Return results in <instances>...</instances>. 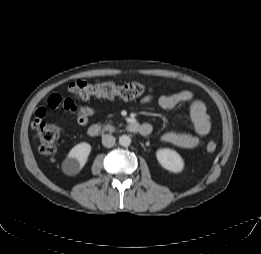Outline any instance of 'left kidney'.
<instances>
[{
	"label": "left kidney",
	"instance_id": "5707ae66",
	"mask_svg": "<svg viewBox=\"0 0 261 254\" xmlns=\"http://www.w3.org/2000/svg\"><path fill=\"white\" fill-rule=\"evenodd\" d=\"M156 157L160 165L170 172L179 173L184 168V161L175 150L159 149Z\"/></svg>",
	"mask_w": 261,
	"mask_h": 254
}]
</instances>
